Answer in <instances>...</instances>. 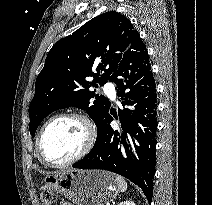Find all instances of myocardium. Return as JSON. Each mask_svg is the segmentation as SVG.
I'll use <instances>...</instances> for the list:
<instances>
[{
	"instance_id": "myocardium-1",
	"label": "myocardium",
	"mask_w": 212,
	"mask_h": 205,
	"mask_svg": "<svg viewBox=\"0 0 212 205\" xmlns=\"http://www.w3.org/2000/svg\"><path fill=\"white\" fill-rule=\"evenodd\" d=\"M61 119H76L78 121H80L86 131V141L82 147V149L72 158L68 159L67 161L61 162V163H54L49 161L44 153H43V149H42V140H43V136L46 132V130L56 121L61 120ZM96 139H97V129L95 127V124L93 123V121L84 113L81 112H65V113H60L58 115H55L54 117H52L51 119H49L41 128L38 137H37V152L39 155L40 160L50 166V167H55V168H62V167H66L69 165L74 164L75 162L81 160L82 158H84L87 154H89V152L92 150V148L94 147L95 143H96Z\"/></svg>"
}]
</instances>
